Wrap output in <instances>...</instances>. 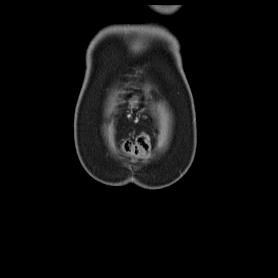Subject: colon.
<instances>
[{
	"label": "colon",
	"instance_id": "colon-1",
	"mask_svg": "<svg viewBox=\"0 0 278 278\" xmlns=\"http://www.w3.org/2000/svg\"><path fill=\"white\" fill-rule=\"evenodd\" d=\"M122 150L132 158H142L149 151V138L139 135L135 140H126L121 145Z\"/></svg>",
	"mask_w": 278,
	"mask_h": 278
}]
</instances>
